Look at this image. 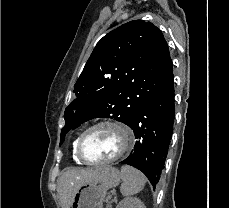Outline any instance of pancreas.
Listing matches in <instances>:
<instances>
[{
  "instance_id": "cf45deb5",
  "label": "pancreas",
  "mask_w": 229,
  "mask_h": 208,
  "mask_svg": "<svg viewBox=\"0 0 229 208\" xmlns=\"http://www.w3.org/2000/svg\"><path fill=\"white\" fill-rule=\"evenodd\" d=\"M106 202H108V200H106ZM107 208H111L110 204H108Z\"/></svg>"
}]
</instances>
